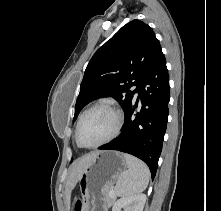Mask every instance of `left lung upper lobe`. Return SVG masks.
Listing matches in <instances>:
<instances>
[{
	"label": "left lung upper lobe",
	"instance_id": "left-lung-upper-lobe-1",
	"mask_svg": "<svg viewBox=\"0 0 221 211\" xmlns=\"http://www.w3.org/2000/svg\"><path fill=\"white\" fill-rule=\"evenodd\" d=\"M160 50V43L147 24L133 20L124 25L89 61L73 121L86 104L102 96L116 99L125 112ZM132 86L137 88L129 91Z\"/></svg>",
	"mask_w": 221,
	"mask_h": 211
}]
</instances>
